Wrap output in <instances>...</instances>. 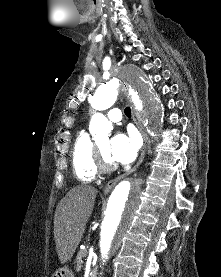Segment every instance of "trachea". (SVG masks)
I'll return each instance as SVG.
<instances>
[{
    "instance_id": "trachea-1",
    "label": "trachea",
    "mask_w": 221,
    "mask_h": 277,
    "mask_svg": "<svg viewBox=\"0 0 221 277\" xmlns=\"http://www.w3.org/2000/svg\"><path fill=\"white\" fill-rule=\"evenodd\" d=\"M124 112H125V115H126L127 117H131V109H130V107H126L125 110H124Z\"/></svg>"
}]
</instances>
